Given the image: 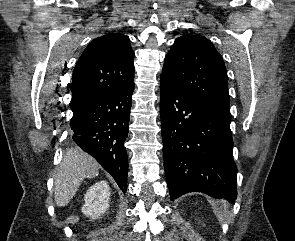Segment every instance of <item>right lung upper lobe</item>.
I'll return each instance as SVG.
<instances>
[{"label": "right lung upper lobe", "instance_id": "1", "mask_svg": "<svg viewBox=\"0 0 295 241\" xmlns=\"http://www.w3.org/2000/svg\"><path fill=\"white\" fill-rule=\"evenodd\" d=\"M133 57L129 37L124 34H106L93 40L73 70L70 106L132 85Z\"/></svg>", "mask_w": 295, "mask_h": 241}]
</instances>
